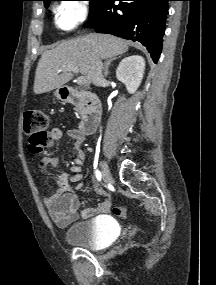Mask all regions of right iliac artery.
Wrapping results in <instances>:
<instances>
[{
	"mask_svg": "<svg viewBox=\"0 0 216 285\" xmlns=\"http://www.w3.org/2000/svg\"><path fill=\"white\" fill-rule=\"evenodd\" d=\"M95 175H96L97 180L101 181L102 175H101V172L99 170L95 171Z\"/></svg>",
	"mask_w": 216,
	"mask_h": 285,
	"instance_id": "right-iliac-artery-1",
	"label": "right iliac artery"
}]
</instances>
